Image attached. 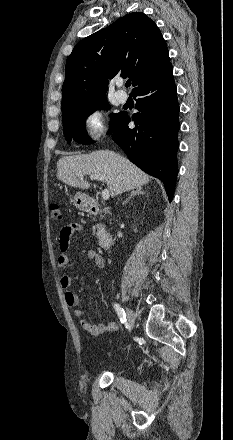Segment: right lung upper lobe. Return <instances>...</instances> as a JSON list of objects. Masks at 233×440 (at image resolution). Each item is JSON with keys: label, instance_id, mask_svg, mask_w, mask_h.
I'll list each match as a JSON object with an SVG mask.
<instances>
[{"label": "right lung upper lobe", "instance_id": "right-lung-upper-lobe-1", "mask_svg": "<svg viewBox=\"0 0 233 440\" xmlns=\"http://www.w3.org/2000/svg\"><path fill=\"white\" fill-rule=\"evenodd\" d=\"M170 66L156 24L142 12L127 14L74 47L66 62L62 108L106 97L108 79L116 75L129 77L134 91Z\"/></svg>", "mask_w": 233, "mask_h": 440}]
</instances>
